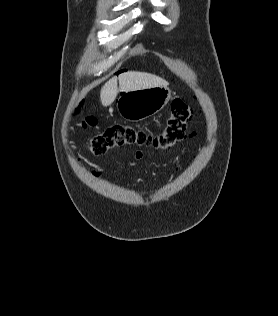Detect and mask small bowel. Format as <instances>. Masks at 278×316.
Masks as SVG:
<instances>
[{"label":"small bowel","mask_w":278,"mask_h":316,"mask_svg":"<svg viewBox=\"0 0 278 316\" xmlns=\"http://www.w3.org/2000/svg\"><path fill=\"white\" fill-rule=\"evenodd\" d=\"M142 156V152L141 151H138L136 152V158H140ZM104 169L103 168H98L96 171L98 173L102 172Z\"/></svg>","instance_id":"c3829d8e"}]
</instances>
